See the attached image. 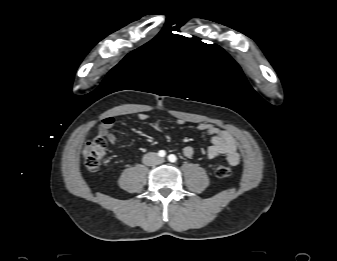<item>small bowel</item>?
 Here are the masks:
<instances>
[{
	"label": "small bowel",
	"mask_w": 337,
	"mask_h": 261,
	"mask_svg": "<svg viewBox=\"0 0 337 261\" xmlns=\"http://www.w3.org/2000/svg\"><path fill=\"white\" fill-rule=\"evenodd\" d=\"M137 118L141 121L148 120L149 116L146 113L137 114ZM178 124H184V120L179 119ZM115 124V119L108 116L102 120L98 126V135L109 141L111 144L117 142V137L111 132V128ZM197 129L210 136V145L207 149V155L210 159H215L220 155L226 157L227 162L236 166L240 162V155L238 153L237 142L230 132L227 130L215 127L209 123H199ZM184 156L190 158L194 155V148L187 145L183 148Z\"/></svg>",
	"instance_id": "c3829d8e"
}]
</instances>
